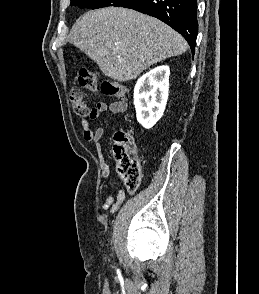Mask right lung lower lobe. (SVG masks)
I'll use <instances>...</instances> for the list:
<instances>
[{
    "mask_svg": "<svg viewBox=\"0 0 259 294\" xmlns=\"http://www.w3.org/2000/svg\"><path fill=\"white\" fill-rule=\"evenodd\" d=\"M121 7L165 22L186 39L194 54L198 32L197 0H129Z\"/></svg>",
    "mask_w": 259,
    "mask_h": 294,
    "instance_id": "obj_1",
    "label": "right lung lower lobe"
}]
</instances>
